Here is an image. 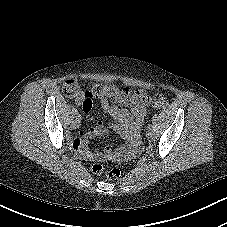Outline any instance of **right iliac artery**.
<instances>
[{"label":"right iliac artery","mask_w":227,"mask_h":227,"mask_svg":"<svg viewBox=\"0 0 227 227\" xmlns=\"http://www.w3.org/2000/svg\"><path fill=\"white\" fill-rule=\"evenodd\" d=\"M75 114L78 115V113H75ZM77 118H80V115H78Z\"/></svg>","instance_id":"right-iliac-artery-1"}]
</instances>
